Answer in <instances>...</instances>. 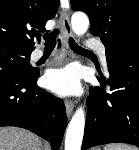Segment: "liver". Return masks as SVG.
Segmentation results:
<instances>
[{
	"instance_id": "1",
	"label": "liver",
	"mask_w": 139,
	"mask_h": 150,
	"mask_svg": "<svg viewBox=\"0 0 139 150\" xmlns=\"http://www.w3.org/2000/svg\"><path fill=\"white\" fill-rule=\"evenodd\" d=\"M41 140L32 132L16 128H0V150H42Z\"/></svg>"
}]
</instances>
